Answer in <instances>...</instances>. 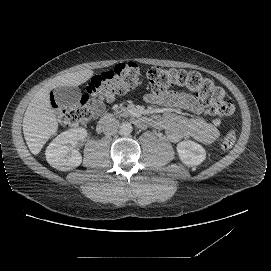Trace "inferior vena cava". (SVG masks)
<instances>
[{
    "label": "inferior vena cava",
    "mask_w": 271,
    "mask_h": 271,
    "mask_svg": "<svg viewBox=\"0 0 271 271\" xmlns=\"http://www.w3.org/2000/svg\"><path fill=\"white\" fill-rule=\"evenodd\" d=\"M100 125L104 134L112 135L118 130L120 123L116 118L108 114L102 118Z\"/></svg>",
    "instance_id": "602c4592"
}]
</instances>
